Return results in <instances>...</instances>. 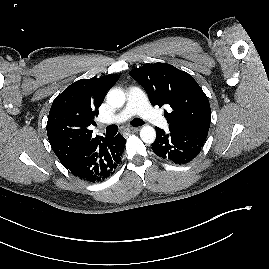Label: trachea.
I'll return each instance as SVG.
<instances>
[{"label": "trachea", "mask_w": 269, "mask_h": 269, "mask_svg": "<svg viewBox=\"0 0 269 269\" xmlns=\"http://www.w3.org/2000/svg\"><path fill=\"white\" fill-rule=\"evenodd\" d=\"M144 124V121L136 118L131 121V125L134 127L142 126ZM118 131V126L117 125H110L106 128V132L108 135H115Z\"/></svg>", "instance_id": "1"}]
</instances>
